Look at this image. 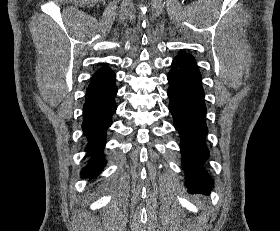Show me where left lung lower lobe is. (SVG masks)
Masks as SVG:
<instances>
[{"label": "left lung lower lobe", "instance_id": "0a47b994", "mask_svg": "<svg viewBox=\"0 0 280 231\" xmlns=\"http://www.w3.org/2000/svg\"><path fill=\"white\" fill-rule=\"evenodd\" d=\"M170 99L169 110L174 118V126L181 138L183 168L190 193H205L212 186V179L203 168L209 156L205 145L207 126L206 107L199 70L172 68L167 76Z\"/></svg>", "mask_w": 280, "mask_h": 231}]
</instances>
